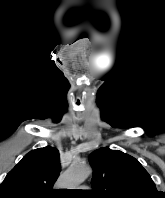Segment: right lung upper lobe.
Listing matches in <instances>:
<instances>
[{
  "label": "right lung upper lobe",
  "mask_w": 165,
  "mask_h": 198,
  "mask_svg": "<svg viewBox=\"0 0 165 198\" xmlns=\"http://www.w3.org/2000/svg\"><path fill=\"white\" fill-rule=\"evenodd\" d=\"M60 173L56 148L46 146L30 151L7 174L0 185V197L46 198L53 194V185Z\"/></svg>",
  "instance_id": "cb5924a9"
}]
</instances>
